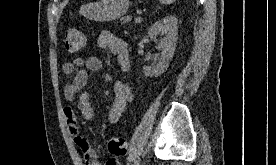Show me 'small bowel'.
Masks as SVG:
<instances>
[{"instance_id": "small-bowel-1", "label": "small bowel", "mask_w": 276, "mask_h": 165, "mask_svg": "<svg viewBox=\"0 0 276 165\" xmlns=\"http://www.w3.org/2000/svg\"><path fill=\"white\" fill-rule=\"evenodd\" d=\"M97 43L100 48L108 49L116 56L122 71L128 70L129 49L128 44L122 38L110 31H102L98 36ZM101 69V60L94 56L87 59L76 58L63 65V73L68 78V82L64 87V97L67 101H73L76 96H79L78 108L86 119H91L94 115L89 93L83 91L88 82V71L97 72ZM132 100L133 92L130 86L124 81H117L114 85V100L108 111V121L112 124L117 123L122 117L127 104ZM64 116L74 143L82 152L85 165H102L97 159L96 151L80 135L75 111L67 107L64 109ZM105 165H119V161L111 157L107 159Z\"/></svg>"}]
</instances>
